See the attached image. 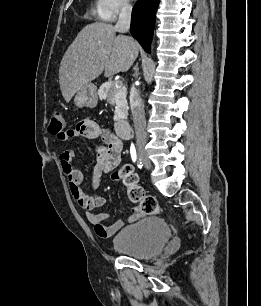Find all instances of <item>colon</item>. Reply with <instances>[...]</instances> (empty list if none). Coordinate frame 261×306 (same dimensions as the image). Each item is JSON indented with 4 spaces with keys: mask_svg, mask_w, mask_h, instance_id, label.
Returning a JSON list of instances; mask_svg holds the SVG:
<instances>
[{
    "mask_svg": "<svg viewBox=\"0 0 261 306\" xmlns=\"http://www.w3.org/2000/svg\"><path fill=\"white\" fill-rule=\"evenodd\" d=\"M49 132L60 139L67 136L65 130V119L60 111H55L51 115ZM113 179L122 182L128 189L129 199L137 204L141 213L152 215L161 212V208L156 198L146 195L138 184L137 175L131 165H124L113 174Z\"/></svg>",
    "mask_w": 261,
    "mask_h": 306,
    "instance_id": "colon-1",
    "label": "colon"
}]
</instances>
